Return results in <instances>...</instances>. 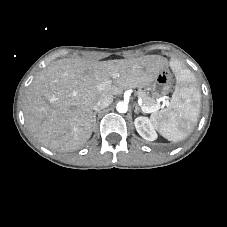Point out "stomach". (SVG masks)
Listing matches in <instances>:
<instances>
[{
  "label": "stomach",
  "instance_id": "obj_1",
  "mask_svg": "<svg viewBox=\"0 0 227 227\" xmlns=\"http://www.w3.org/2000/svg\"><path fill=\"white\" fill-rule=\"evenodd\" d=\"M173 86V77L170 71L165 68L152 82V94L154 97H165L168 95Z\"/></svg>",
  "mask_w": 227,
  "mask_h": 227
}]
</instances>
